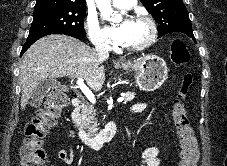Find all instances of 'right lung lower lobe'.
Masks as SVG:
<instances>
[{
	"label": "right lung lower lobe",
	"mask_w": 227,
	"mask_h": 166,
	"mask_svg": "<svg viewBox=\"0 0 227 166\" xmlns=\"http://www.w3.org/2000/svg\"><path fill=\"white\" fill-rule=\"evenodd\" d=\"M53 34H65V35H69V36H72V37H75L77 39H82L83 37H80V36H76V35H73V34H69V33H53ZM46 35H50V34H45V35H42L40 37H37V38H33V39H28L26 41V43L24 44L23 48H22V51H21V56L22 54L35 42L37 41L38 39L46 36Z\"/></svg>",
	"instance_id": "right-lung-lower-lobe-1"
}]
</instances>
